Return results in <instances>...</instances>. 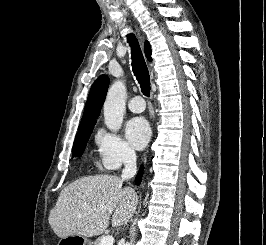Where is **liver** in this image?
I'll return each instance as SVG.
<instances>
[{"mask_svg":"<svg viewBox=\"0 0 266 245\" xmlns=\"http://www.w3.org/2000/svg\"><path fill=\"white\" fill-rule=\"evenodd\" d=\"M122 185L123 181L112 175L82 177L70 183L62 189L49 215L52 231L60 239L71 235L97 237L106 231L110 219L112 227L127 225L138 197L134 189H122Z\"/></svg>","mask_w":266,"mask_h":245,"instance_id":"1","label":"liver"}]
</instances>
